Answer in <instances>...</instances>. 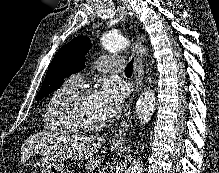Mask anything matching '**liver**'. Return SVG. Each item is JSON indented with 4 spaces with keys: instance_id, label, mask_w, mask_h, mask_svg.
I'll return each instance as SVG.
<instances>
[{
    "instance_id": "obj_1",
    "label": "liver",
    "mask_w": 219,
    "mask_h": 173,
    "mask_svg": "<svg viewBox=\"0 0 219 173\" xmlns=\"http://www.w3.org/2000/svg\"><path fill=\"white\" fill-rule=\"evenodd\" d=\"M105 139L99 136L72 135L60 140L45 132L30 136L21 147V162L24 163L33 154L53 153L72 160H87L85 167L91 170L100 166V156L94 155Z\"/></svg>"
}]
</instances>
